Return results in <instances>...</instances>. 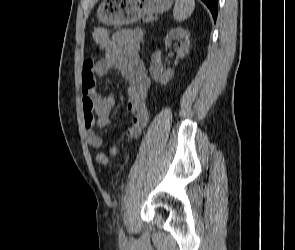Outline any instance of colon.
I'll return each mask as SVG.
<instances>
[{"instance_id": "5ec220e1", "label": "colon", "mask_w": 295, "mask_h": 250, "mask_svg": "<svg viewBox=\"0 0 295 250\" xmlns=\"http://www.w3.org/2000/svg\"><path fill=\"white\" fill-rule=\"evenodd\" d=\"M90 36L92 41L99 47H104L109 41V33L105 28L95 27L91 30ZM107 156L105 154H100L97 156V161L105 165L107 163Z\"/></svg>"}]
</instances>
